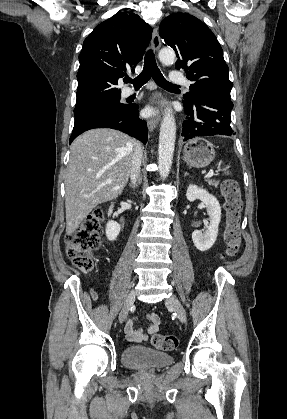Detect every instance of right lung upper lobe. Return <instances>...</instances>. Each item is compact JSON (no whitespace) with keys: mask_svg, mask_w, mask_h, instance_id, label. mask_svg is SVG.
Listing matches in <instances>:
<instances>
[{"mask_svg":"<svg viewBox=\"0 0 287 419\" xmlns=\"http://www.w3.org/2000/svg\"><path fill=\"white\" fill-rule=\"evenodd\" d=\"M152 28L136 14L116 13L85 39L79 55L76 106L121 95L118 79L134 72L151 40Z\"/></svg>","mask_w":287,"mask_h":419,"instance_id":"obj_1","label":"right lung upper lobe"}]
</instances>
